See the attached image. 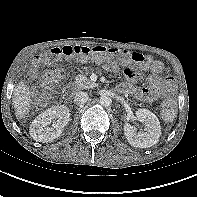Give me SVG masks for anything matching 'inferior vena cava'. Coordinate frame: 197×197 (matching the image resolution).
Instances as JSON below:
<instances>
[{"label":"inferior vena cava","instance_id":"1","mask_svg":"<svg viewBox=\"0 0 197 197\" xmlns=\"http://www.w3.org/2000/svg\"><path fill=\"white\" fill-rule=\"evenodd\" d=\"M89 99V95L87 92L78 91L74 95V102L78 105H82L86 103Z\"/></svg>","mask_w":197,"mask_h":197}]
</instances>
